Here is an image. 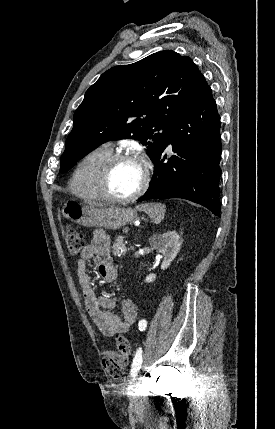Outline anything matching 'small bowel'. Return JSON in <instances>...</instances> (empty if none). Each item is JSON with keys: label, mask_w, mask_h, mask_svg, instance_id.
<instances>
[{"label": "small bowel", "mask_w": 275, "mask_h": 429, "mask_svg": "<svg viewBox=\"0 0 275 429\" xmlns=\"http://www.w3.org/2000/svg\"><path fill=\"white\" fill-rule=\"evenodd\" d=\"M110 239L108 235L97 230L92 242L87 244L77 263V279L84 297L85 307L101 333L112 337L119 333H126L134 325L137 317L135 304L128 300L121 301L120 313H114L116 302L110 296H97L91 284L92 277L87 270V261L95 258L98 263V274L106 281L113 282L116 278V269L110 256Z\"/></svg>", "instance_id": "small-bowel-1"}]
</instances>
